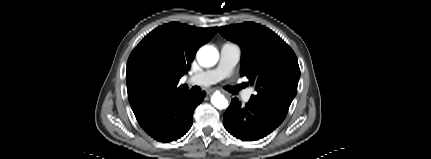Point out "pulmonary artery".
Returning a JSON list of instances; mask_svg holds the SVG:
<instances>
[{
	"instance_id": "e3ab8cb5",
	"label": "pulmonary artery",
	"mask_w": 431,
	"mask_h": 159,
	"mask_svg": "<svg viewBox=\"0 0 431 159\" xmlns=\"http://www.w3.org/2000/svg\"><path fill=\"white\" fill-rule=\"evenodd\" d=\"M241 58L240 47L232 42H226L221 46L220 59L216 67L201 71L190 77V83L208 86L228 77ZM253 89H247L242 93L243 101L250 100Z\"/></svg>"
}]
</instances>
